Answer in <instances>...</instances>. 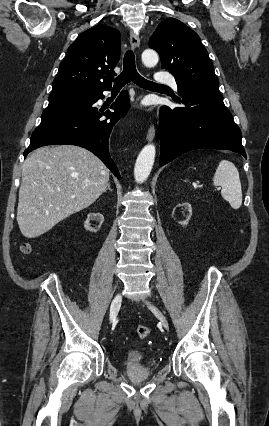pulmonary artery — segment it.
<instances>
[{
	"mask_svg": "<svg viewBox=\"0 0 269 426\" xmlns=\"http://www.w3.org/2000/svg\"><path fill=\"white\" fill-rule=\"evenodd\" d=\"M156 80L161 84H167L171 87L177 89V81L175 77L172 74L164 73V72H158L156 74Z\"/></svg>",
	"mask_w": 269,
	"mask_h": 426,
	"instance_id": "pulmonary-artery-1",
	"label": "pulmonary artery"
}]
</instances>
